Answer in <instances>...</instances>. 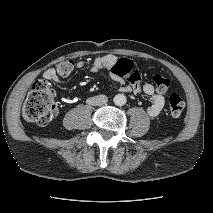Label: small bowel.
<instances>
[{
  "label": "small bowel",
  "instance_id": "1",
  "mask_svg": "<svg viewBox=\"0 0 213 213\" xmlns=\"http://www.w3.org/2000/svg\"><path fill=\"white\" fill-rule=\"evenodd\" d=\"M118 58L115 55H104L97 57L93 60L90 66L91 72L107 71L110 76L119 83V90L125 93H134L136 95L144 94L151 99L150 105L147 107V114L150 117H157L165 104L164 96L156 91L155 87L151 83H141V77L138 71L133 69L131 75L126 78H121L112 73V68L117 63ZM86 66V62L78 60L74 62V67L82 69ZM43 77L49 81L59 82L64 76L57 73L56 68H48L44 73ZM66 77V76H65Z\"/></svg>",
  "mask_w": 213,
  "mask_h": 213
}]
</instances>
